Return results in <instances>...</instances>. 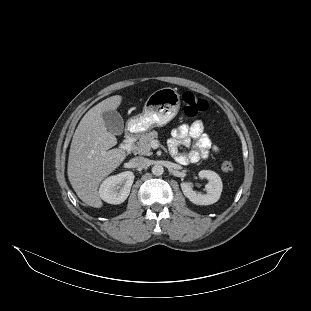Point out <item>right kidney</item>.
Masks as SVG:
<instances>
[{
  "label": "right kidney",
  "mask_w": 311,
  "mask_h": 311,
  "mask_svg": "<svg viewBox=\"0 0 311 311\" xmlns=\"http://www.w3.org/2000/svg\"><path fill=\"white\" fill-rule=\"evenodd\" d=\"M134 173L125 171L105 179L99 188L100 198L109 204H121L130 194Z\"/></svg>",
  "instance_id": "obj_1"
}]
</instances>
